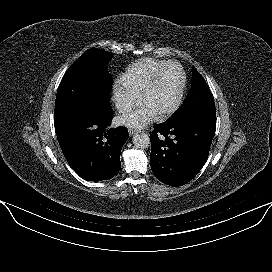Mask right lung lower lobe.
<instances>
[{
  "instance_id": "obj_1",
  "label": "right lung lower lobe",
  "mask_w": 272,
  "mask_h": 272,
  "mask_svg": "<svg viewBox=\"0 0 272 272\" xmlns=\"http://www.w3.org/2000/svg\"><path fill=\"white\" fill-rule=\"evenodd\" d=\"M112 118V109H81L55 130L68 164L86 181L109 180L121 169V150L129 135L122 126L109 129Z\"/></svg>"
}]
</instances>
